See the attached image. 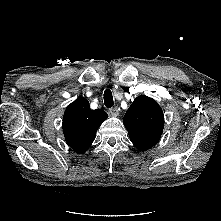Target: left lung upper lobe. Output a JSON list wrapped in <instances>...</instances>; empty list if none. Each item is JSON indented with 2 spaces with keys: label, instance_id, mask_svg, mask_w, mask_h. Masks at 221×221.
I'll return each mask as SVG.
<instances>
[{
  "label": "left lung upper lobe",
  "instance_id": "5c2ea615",
  "mask_svg": "<svg viewBox=\"0 0 221 221\" xmlns=\"http://www.w3.org/2000/svg\"><path fill=\"white\" fill-rule=\"evenodd\" d=\"M123 124L134 146L140 151H146L160 140L164 115L154 99L138 96L127 110Z\"/></svg>",
  "mask_w": 221,
  "mask_h": 221
}]
</instances>
